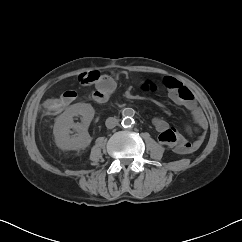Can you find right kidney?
I'll use <instances>...</instances> for the list:
<instances>
[{"instance_id": "obj_1", "label": "right kidney", "mask_w": 242, "mask_h": 242, "mask_svg": "<svg viewBox=\"0 0 242 242\" xmlns=\"http://www.w3.org/2000/svg\"><path fill=\"white\" fill-rule=\"evenodd\" d=\"M95 111L91 104L76 103L70 105L60 116L56 118L53 134L55 143L61 150H81L88 147L92 141L88 126ZM80 115L81 123H74V117ZM74 129L77 133L70 135Z\"/></svg>"}]
</instances>
